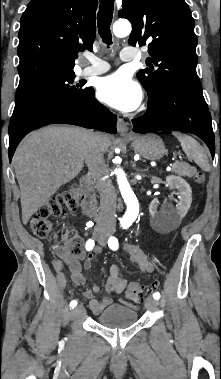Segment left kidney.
Instances as JSON below:
<instances>
[{"mask_svg":"<svg viewBox=\"0 0 221 379\" xmlns=\"http://www.w3.org/2000/svg\"><path fill=\"white\" fill-rule=\"evenodd\" d=\"M167 184L179 191V202L176 208L164 205L160 211L157 210L159 202L153 200L149 205L152 223L160 229H173L178 226L182 218L187 214L192 203V190L190 185L181 177H166Z\"/></svg>","mask_w":221,"mask_h":379,"instance_id":"1","label":"left kidney"}]
</instances>
